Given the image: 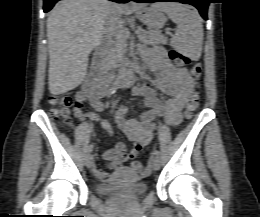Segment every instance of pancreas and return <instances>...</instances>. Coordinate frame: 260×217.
Instances as JSON below:
<instances>
[{
    "mask_svg": "<svg viewBox=\"0 0 260 217\" xmlns=\"http://www.w3.org/2000/svg\"><path fill=\"white\" fill-rule=\"evenodd\" d=\"M129 38V31L127 29H122L116 36L113 42H109L107 50V63L106 67L112 62H115L124 53L126 48V41ZM139 39L146 45L156 46L159 44H166L164 37L157 31H148L139 34Z\"/></svg>",
    "mask_w": 260,
    "mask_h": 217,
    "instance_id": "pancreas-1",
    "label": "pancreas"
}]
</instances>
